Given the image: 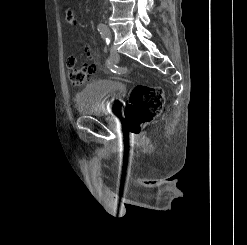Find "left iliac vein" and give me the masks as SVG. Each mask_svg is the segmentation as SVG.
<instances>
[{
  "mask_svg": "<svg viewBox=\"0 0 247 245\" xmlns=\"http://www.w3.org/2000/svg\"><path fill=\"white\" fill-rule=\"evenodd\" d=\"M110 36H111V34H110ZM110 58L113 62L119 61V54L117 53V51L113 47H110Z\"/></svg>",
  "mask_w": 247,
  "mask_h": 245,
  "instance_id": "obj_1",
  "label": "left iliac vein"
}]
</instances>
